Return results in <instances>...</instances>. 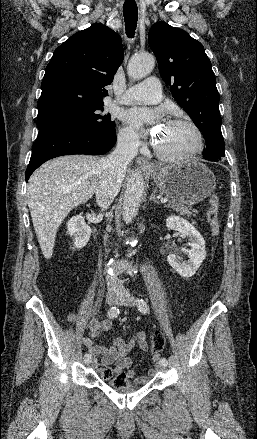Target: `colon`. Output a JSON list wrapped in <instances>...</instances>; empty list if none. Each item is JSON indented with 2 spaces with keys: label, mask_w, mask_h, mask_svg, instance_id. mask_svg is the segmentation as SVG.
Returning a JSON list of instances; mask_svg holds the SVG:
<instances>
[{
  "label": "colon",
  "mask_w": 257,
  "mask_h": 439,
  "mask_svg": "<svg viewBox=\"0 0 257 439\" xmlns=\"http://www.w3.org/2000/svg\"><path fill=\"white\" fill-rule=\"evenodd\" d=\"M208 210L206 220L209 225L211 234L216 237L219 233L218 213H219V197L211 195L208 201ZM166 345L165 335L161 331H156L153 334L150 343V352L157 354L161 352ZM103 379L110 381L111 385L116 389L131 388V384L124 373H115L112 368H105L100 371Z\"/></svg>",
  "instance_id": "obj_1"
}]
</instances>
